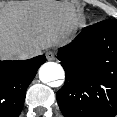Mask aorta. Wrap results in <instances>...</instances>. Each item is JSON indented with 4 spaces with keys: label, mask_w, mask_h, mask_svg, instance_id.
<instances>
[{
    "label": "aorta",
    "mask_w": 117,
    "mask_h": 117,
    "mask_svg": "<svg viewBox=\"0 0 117 117\" xmlns=\"http://www.w3.org/2000/svg\"><path fill=\"white\" fill-rule=\"evenodd\" d=\"M65 72L63 67L55 62H46L39 69V79L43 83L63 79Z\"/></svg>",
    "instance_id": "obj_1"
}]
</instances>
